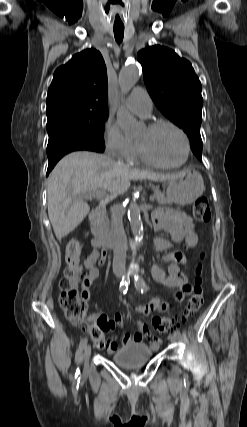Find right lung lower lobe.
<instances>
[{
  "label": "right lung lower lobe",
  "mask_w": 247,
  "mask_h": 427,
  "mask_svg": "<svg viewBox=\"0 0 247 427\" xmlns=\"http://www.w3.org/2000/svg\"><path fill=\"white\" fill-rule=\"evenodd\" d=\"M104 149L105 148H101L98 145L78 136L64 133L49 135L47 146L49 164L46 175L48 176L55 164L67 153L78 150L103 152Z\"/></svg>",
  "instance_id": "obj_1"
}]
</instances>
